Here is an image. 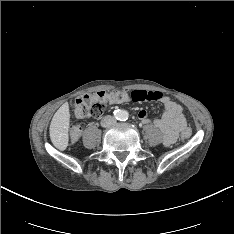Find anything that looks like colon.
Instances as JSON below:
<instances>
[{"label": "colon", "mask_w": 234, "mask_h": 234, "mask_svg": "<svg viewBox=\"0 0 234 234\" xmlns=\"http://www.w3.org/2000/svg\"><path fill=\"white\" fill-rule=\"evenodd\" d=\"M161 97L159 92L124 91L105 92L100 91L94 94H87L75 100V114L78 118H99L105 112L106 106L113 103H121L126 99L134 102L158 101ZM82 132L81 126H74L70 130V141L76 142ZM191 136V129L186 128L182 132V138L188 139Z\"/></svg>", "instance_id": "5ec220e1"}]
</instances>
